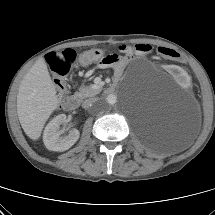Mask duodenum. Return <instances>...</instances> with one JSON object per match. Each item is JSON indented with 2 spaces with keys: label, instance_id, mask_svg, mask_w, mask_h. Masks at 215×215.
<instances>
[{
  "label": "duodenum",
  "instance_id": "410a0bca",
  "mask_svg": "<svg viewBox=\"0 0 215 215\" xmlns=\"http://www.w3.org/2000/svg\"><path fill=\"white\" fill-rule=\"evenodd\" d=\"M111 90H112V87L109 89V91ZM80 102H81V99L78 95H72L66 100L64 107L67 111H74L79 107Z\"/></svg>",
  "mask_w": 215,
  "mask_h": 215
}]
</instances>
